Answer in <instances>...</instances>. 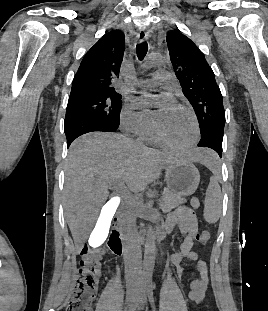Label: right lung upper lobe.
<instances>
[{
	"label": "right lung upper lobe",
	"instance_id": "right-lung-upper-lobe-1",
	"mask_svg": "<svg viewBox=\"0 0 268 311\" xmlns=\"http://www.w3.org/2000/svg\"><path fill=\"white\" fill-rule=\"evenodd\" d=\"M124 54V34L114 30L105 34L84 56L73 79L71 91L114 92Z\"/></svg>",
	"mask_w": 268,
	"mask_h": 311
}]
</instances>
